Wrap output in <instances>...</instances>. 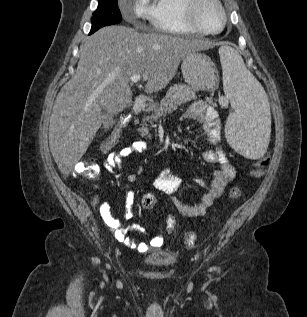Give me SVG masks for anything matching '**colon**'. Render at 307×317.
<instances>
[{
  "label": "colon",
  "mask_w": 307,
  "mask_h": 317,
  "mask_svg": "<svg viewBox=\"0 0 307 317\" xmlns=\"http://www.w3.org/2000/svg\"><path fill=\"white\" fill-rule=\"evenodd\" d=\"M127 126V119L121 118L117 126L113 129L109 137L101 144L100 151L104 154L111 153L112 150L116 147L117 143L120 140L123 129ZM269 164L268 157H262L259 159L255 165L253 170L251 171V175L255 178L261 177L264 174L265 168ZM73 174L76 176H81L87 180H93L97 177V168L93 159L83 160L79 162L74 170ZM242 189L239 186L233 187L229 192V197L231 200H237L241 197ZM142 207L145 210H151L156 204V198L151 193H144L142 195ZM167 231L172 233L176 230L177 223L174 217L168 216L166 220ZM196 241V236L193 232H186L184 234V242L188 246L194 245Z\"/></svg>",
  "instance_id": "obj_1"
}]
</instances>
